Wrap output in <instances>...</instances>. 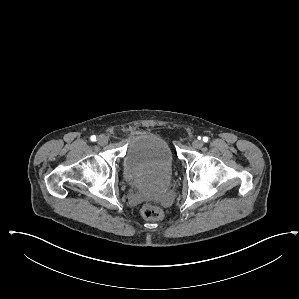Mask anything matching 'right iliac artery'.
Listing matches in <instances>:
<instances>
[{
  "label": "right iliac artery",
  "instance_id": "obj_1",
  "mask_svg": "<svg viewBox=\"0 0 299 299\" xmlns=\"http://www.w3.org/2000/svg\"><path fill=\"white\" fill-rule=\"evenodd\" d=\"M90 139H91V141H96V136L95 135H92L91 137H90Z\"/></svg>",
  "mask_w": 299,
  "mask_h": 299
}]
</instances>
